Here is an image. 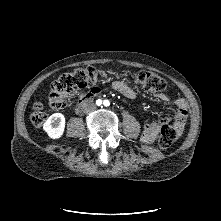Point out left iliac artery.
Masks as SVG:
<instances>
[{"mask_svg": "<svg viewBox=\"0 0 221 221\" xmlns=\"http://www.w3.org/2000/svg\"><path fill=\"white\" fill-rule=\"evenodd\" d=\"M103 104H104L105 106H109V105H110V102H109L108 100H104Z\"/></svg>", "mask_w": 221, "mask_h": 221, "instance_id": "obj_1", "label": "left iliac artery"}]
</instances>
